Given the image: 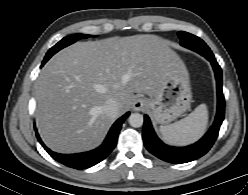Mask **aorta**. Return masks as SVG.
<instances>
[{
  "mask_svg": "<svg viewBox=\"0 0 248 195\" xmlns=\"http://www.w3.org/2000/svg\"><path fill=\"white\" fill-rule=\"evenodd\" d=\"M129 124L134 127V128H138L141 127L143 125L144 122V118L143 115L139 114V113H132L129 116Z\"/></svg>",
  "mask_w": 248,
  "mask_h": 195,
  "instance_id": "762f6f07",
  "label": "aorta"
}]
</instances>
